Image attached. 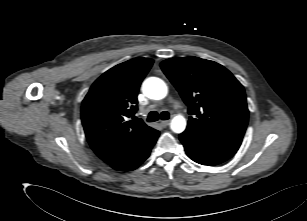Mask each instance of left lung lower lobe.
I'll return each instance as SVG.
<instances>
[{"label": "left lung lower lobe", "instance_id": "0a47b994", "mask_svg": "<svg viewBox=\"0 0 307 221\" xmlns=\"http://www.w3.org/2000/svg\"><path fill=\"white\" fill-rule=\"evenodd\" d=\"M179 138L193 161L209 166L231 158L242 143V138L236 136L205 132L189 126Z\"/></svg>", "mask_w": 307, "mask_h": 221}]
</instances>
